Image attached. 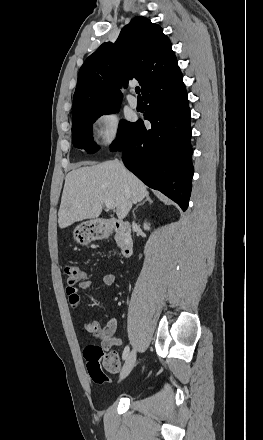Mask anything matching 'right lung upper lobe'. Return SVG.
<instances>
[{"label": "right lung upper lobe", "mask_w": 263, "mask_h": 440, "mask_svg": "<svg viewBox=\"0 0 263 440\" xmlns=\"http://www.w3.org/2000/svg\"><path fill=\"white\" fill-rule=\"evenodd\" d=\"M180 70L162 28L138 16L123 27L117 41L102 44L79 71L72 119L95 110L120 106L119 88L136 79L142 95Z\"/></svg>", "instance_id": "1"}]
</instances>
